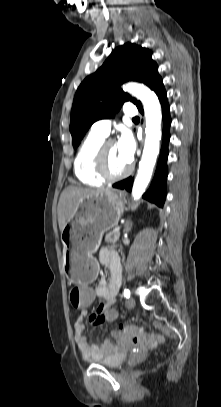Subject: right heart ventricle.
<instances>
[{"label": "right heart ventricle", "mask_w": 221, "mask_h": 407, "mask_svg": "<svg viewBox=\"0 0 221 407\" xmlns=\"http://www.w3.org/2000/svg\"><path fill=\"white\" fill-rule=\"evenodd\" d=\"M105 136L90 132L80 145L74 161L78 180L88 186H100L104 180L95 171V157Z\"/></svg>", "instance_id": "1"}]
</instances>
